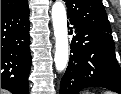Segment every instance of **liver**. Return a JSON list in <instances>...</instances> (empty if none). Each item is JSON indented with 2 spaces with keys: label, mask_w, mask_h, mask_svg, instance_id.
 I'll return each instance as SVG.
<instances>
[{
  "label": "liver",
  "mask_w": 121,
  "mask_h": 94,
  "mask_svg": "<svg viewBox=\"0 0 121 94\" xmlns=\"http://www.w3.org/2000/svg\"><path fill=\"white\" fill-rule=\"evenodd\" d=\"M1 94H9V92L1 89Z\"/></svg>",
  "instance_id": "1"
}]
</instances>
